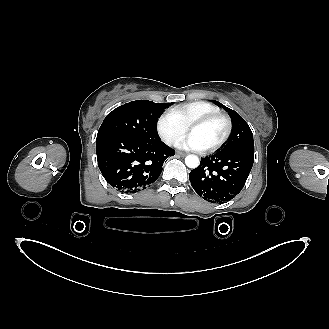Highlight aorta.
<instances>
[{"label": "aorta", "instance_id": "aorta-1", "mask_svg": "<svg viewBox=\"0 0 329 329\" xmlns=\"http://www.w3.org/2000/svg\"><path fill=\"white\" fill-rule=\"evenodd\" d=\"M185 164L187 167L195 169L199 166L200 160L196 155H187L185 158Z\"/></svg>", "mask_w": 329, "mask_h": 329}]
</instances>
